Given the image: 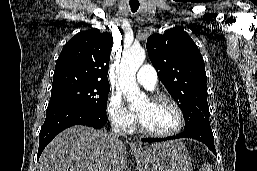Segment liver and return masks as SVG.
Listing matches in <instances>:
<instances>
[{"mask_svg":"<svg viewBox=\"0 0 257 171\" xmlns=\"http://www.w3.org/2000/svg\"><path fill=\"white\" fill-rule=\"evenodd\" d=\"M127 151L113 133L77 125L59 133L44 149L39 171H125Z\"/></svg>","mask_w":257,"mask_h":171,"instance_id":"1","label":"liver"}]
</instances>
